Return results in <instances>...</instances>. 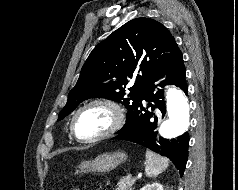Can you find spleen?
Returning <instances> with one entry per match:
<instances>
[{"label":"spleen","mask_w":238,"mask_h":190,"mask_svg":"<svg viewBox=\"0 0 238 190\" xmlns=\"http://www.w3.org/2000/svg\"><path fill=\"white\" fill-rule=\"evenodd\" d=\"M169 161L150 150L146 151L145 174L147 177H156L167 169Z\"/></svg>","instance_id":"obj_1"}]
</instances>
